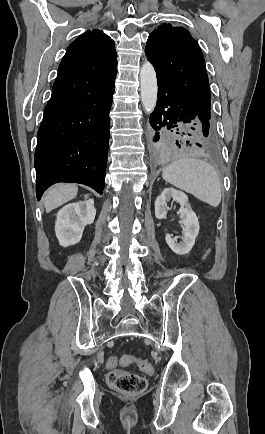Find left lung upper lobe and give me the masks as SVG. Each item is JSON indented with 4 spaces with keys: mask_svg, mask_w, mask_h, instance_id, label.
I'll return each mask as SVG.
<instances>
[{
    "mask_svg": "<svg viewBox=\"0 0 265 434\" xmlns=\"http://www.w3.org/2000/svg\"><path fill=\"white\" fill-rule=\"evenodd\" d=\"M145 54L158 76L176 88L196 109L211 117V94L204 56L184 27L163 23L147 40Z\"/></svg>",
    "mask_w": 265,
    "mask_h": 434,
    "instance_id": "obj_1",
    "label": "left lung upper lobe"
}]
</instances>
